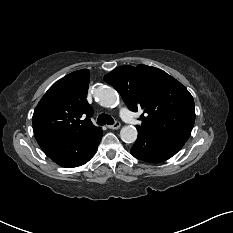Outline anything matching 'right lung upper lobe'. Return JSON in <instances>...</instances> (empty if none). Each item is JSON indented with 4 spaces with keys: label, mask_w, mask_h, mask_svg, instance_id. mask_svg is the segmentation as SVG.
<instances>
[{
    "label": "right lung upper lobe",
    "mask_w": 233,
    "mask_h": 233,
    "mask_svg": "<svg viewBox=\"0 0 233 233\" xmlns=\"http://www.w3.org/2000/svg\"><path fill=\"white\" fill-rule=\"evenodd\" d=\"M90 71L72 72L55 82L42 97L33 114L37 141L75 140L99 129L92 124V108L86 100Z\"/></svg>",
    "instance_id": "right-lung-upper-lobe-1"
}]
</instances>
